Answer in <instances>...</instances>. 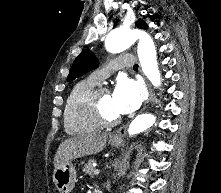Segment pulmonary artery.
Instances as JSON below:
<instances>
[{
    "instance_id": "obj_1",
    "label": "pulmonary artery",
    "mask_w": 221,
    "mask_h": 193,
    "mask_svg": "<svg viewBox=\"0 0 221 193\" xmlns=\"http://www.w3.org/2000/svg\"><path fill=\"white\" fill-rule=\"evenodd\" d=\"M134 61L135 58L132 55L117 57L107 67L94 71L91 77L98 83L102 82L109 76L111 70H116L122 67H131L134 64Z\"/></svg>"
}]
</instances>
